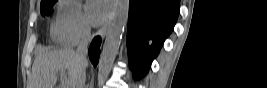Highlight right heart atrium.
<instances>
[{
    "label": "right heart atrium",
    "instance_id": "d8ad5b80",
    "mask_svg": "<svg viewBox=\"0 0 267 88\" xmlns=\"http://www.w3.org/2000/svg\"><path fill=\"white\" fill-rule=\"evenodd\" d=\"M89 33V25L77 2L60 3L52 24V38L63 45H75Z\"/></svg>",
    "mask_w": 267,
    "mask_h": 88
}]
</instances>
